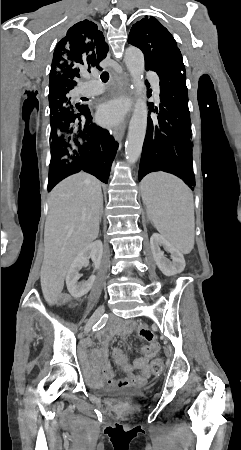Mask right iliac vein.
Masks as SVG:
<instances>
[{
  "label": "right iliac vein",
  "mask_w": 241,
  "mask_h": 450,
  "mask_svg": "<svg viewBox=\"0 0 241 450\" xmlns=\"http://www.w3.org/2000/svg\"><path fill=\"white\" fill-rule=\"evenodd\" d=\"M104 310H105L104 306H100L97 308V310L94 312L92 317L86 323L85 330H84L85 334L89 333V331L92 329L94 324L100 319V317L104 313Z\"/></svg>",
  "instance_id": "obj_1"
}]
</instances>
